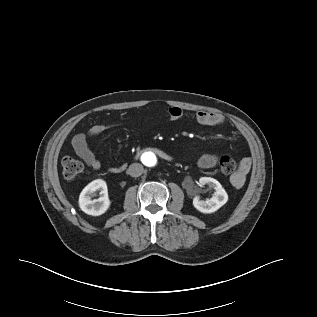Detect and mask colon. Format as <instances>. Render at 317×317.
Returning <instances> with one entry per match:
<instances>
[{
  "label": "colon",
  "instance_id": "obj_1",
  "mask_svg": "<svg viewBox=\"0 0 317 317\" xmlns=\"http://www.w3.org/2000/svg\"><path fill=\"white\" fill-rule=\"evenodd\" d=\"M62 173L66 179H73L83 170V164L76 158L66 156L62 159ZM219 169L222 174L230 175L238 170V163L229 156L219 159Z\"/></svg>",
  "mask_w": 317,
  "mask_h": 317
}]
</instances>
